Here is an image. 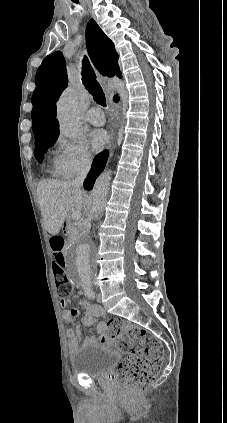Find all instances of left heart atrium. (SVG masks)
Masks as SVG:
<instances>
[{"label":"left heart atrium","instance_id":"left-heart-atrium-1","mask_svg":"<svg viewBox=\"0 0 227 423\" xmlns=\"http://www.w3.org/2000/svg\"><path fill=\"white\" fill-rule=\"evenodd\" d=\"M89 140H90L93 151L99 152L106 146V144L108 143L109 137L104 130L97 129L92 131V133L90 134Z\"/></svg>","mask_w":227,"mask_h":423}]
</instances>
